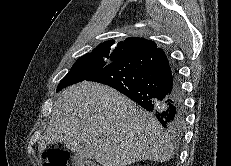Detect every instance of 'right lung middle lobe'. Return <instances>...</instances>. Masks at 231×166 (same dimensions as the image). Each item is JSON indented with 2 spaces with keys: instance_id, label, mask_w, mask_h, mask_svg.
Here are the masks:
<instances>
[{
  "instance_id": "1",
  "label": "right lung middle lobe",
  "mask_w": 231,
  "mask_h": 166,
  "mask_svg": "<svg viewBox=\"0 0 231 166\" xmlns=\"http://www.w3.org/2000/svg\"><path fill=\"white\" fill-rule=\"evenodd\" d=\"M117 60L115 56L94 51L81 56L74 63L69 73L60 81L57 92L69 85L86 80L108 64Z\"/></svg>"
}]
</instances>
